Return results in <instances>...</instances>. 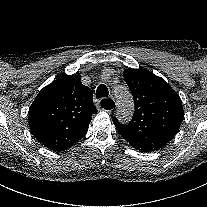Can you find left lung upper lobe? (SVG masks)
Masks as SVG:
<instances>
[{
    "instance_id": "5c2ea615",
    "label": "left lung upper lobe",
    "mask_w": 207,
    "mask_h": 207,
    "mask_svg": "<svg viewBox=\"0 0 207 207\" xmlns=\"http://www.w3.org/2000/svg\"><path fill=\"white\" fill-rule=\"evenodd\" d=\"M123 77L133 95L132 120L113 122L119 134L142 152L159 150L177 133L184 118L179 95L161 77L145 69H126Z\"/></svg>"
}]
</instances>
